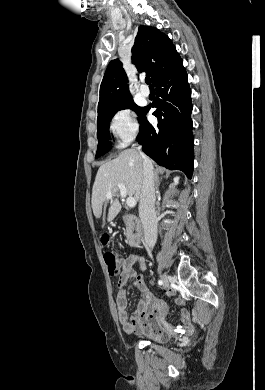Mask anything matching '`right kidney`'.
Masks as SVG:
<instances>
[{"instance_id":"ca27d5eb","label":"right kidney","mask_w":265,"mask_h":390,"mask_svg":"<svg viewBox=\"0 0 265 390\" xmlns=\"http://www.w3.org/2000/svg\"><path fill=\"white\" fill-rule=\"evenodd\" d=\"M179 183V177H175L174 178V183L172 185H170V188L177 185Z\"/></svg>"}]
</instances>
